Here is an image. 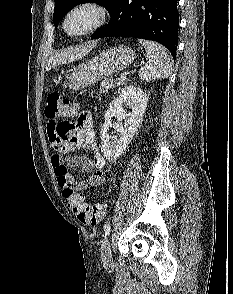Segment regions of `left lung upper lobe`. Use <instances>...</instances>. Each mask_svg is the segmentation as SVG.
<instances>
[{
  "instance_id": "left-lung-upper-lobe-1",
  "label": "left lung upper lobe",
  "mask_w": 233,
  "mask_h": 294,
  "mask_svg": "<svg viewBox=\"0 0 233 294\" xmlns=\"http://www.w3.org/2000/svg\"><path fill=\"white\" fill-rule=\"evenodd\" d=\"M55 10L53 14V22L55 28L58 26L59 21L76 5L86 3V2H95L103 5L109 13L115 7L117 0H54Z\"/></svg>"
}]
</instances>
